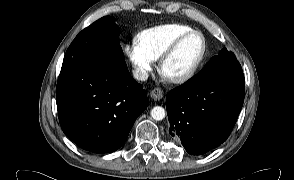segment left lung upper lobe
<instances>
[{
    "instance_id": "5c2ea615",
    "label": "left lung upper lobe",
    "mask_w": 294,
    "mask_h": 180,
    "mask_svg": "<svg viewBox=\"0 0 294 180\" xmlns=\"http://www.w3.org/2000/svg\"><path fill=\"white\" fill-rule=\"evenodd\" d=\"M224 71H242L241 65L234 53L226 48H223L218 55L212 57L203 71L192 79L202 81Z\"/></svg>"
}]
</instances>
